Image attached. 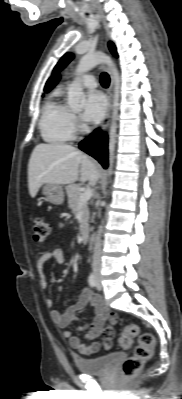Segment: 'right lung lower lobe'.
<instances>
[{
  "label": "right lung lower lobe",
  "mask_w": 182,
  "mask_h": 399,
  "mask_svg": "<svg viewBox=\"0 0 182 399\" xmlns=\"http://www.w3.org/2000/svg\"><path fill=\"white\" fill-rule=\"evenodd\" d=\"M107 135L97 129L88 138L79 144V148L87 154L94 157L99 163L107 168L108 166V150Z\"/></svg>",
  "instance_id": "obj_1"
}]
</instances>
